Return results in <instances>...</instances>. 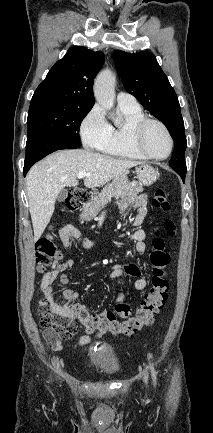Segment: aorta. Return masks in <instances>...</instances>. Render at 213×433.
Instances as JSON below:
<instances>
[{"label":"aorta","mask_w":213,"mask_h":433,"mask_svg":"<svg viewBox=\"0 0 213 433\" xmlns=\"http://www.w3.org/2000/svg\"><path fill=\"white\" fill-rule=\"evenodd\" d=\"M116 78L112 71L104 70L98 74L94 84L96 101L105 109L110 110L114 105Z\"/></svg>","instance_id":"aorta-1"}]
</instances>
